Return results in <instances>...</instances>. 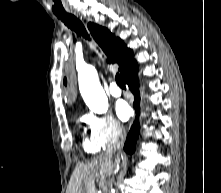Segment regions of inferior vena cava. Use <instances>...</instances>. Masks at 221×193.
Masks as SVG:
<instances>
[{
	"mask_svg": "<svg viewBox=\"0 0 221 193\" xmlns=\"http://www.w3.org/2000/svg\"><path fill=\"white\" fill-rule=\"evenodd\" d=\"M125 139V131L121 128L118 127L116 132L113 134V138L111 141V144L108 148V152L116 154V162L119 165L120 159H119V150L122 148L123 143Z\"/></svg>",
	"mask_w": 221,
	"mask_h": 193,
	"instance_id": "1",
	"label": "inferior vena cava"
}]
</instances>
